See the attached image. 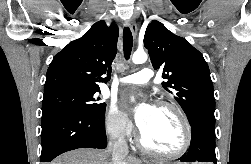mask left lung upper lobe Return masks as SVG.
I'll return each instance as SVG.
<instances>
[{
    "mask_svg": "<svg viewBox=\"0 0 251 164\" xmlns=\"http://www.w3.org/2000/svg\"><path fill=\"white\" fill-rule=\"evenodd\" d=\"M144 46L154 69H163L162 77L167 79L163 87L173 94L189 122L199 116L215 119L213 84L203 55L156 20L146 28Z\"/></svg>",
    "mask_w": 251,
    "mask_h": 164,
    "instance_id": "left-lung-upper-lobe-1",
    "label": "left lung upper lobe"
}]
</instances>
